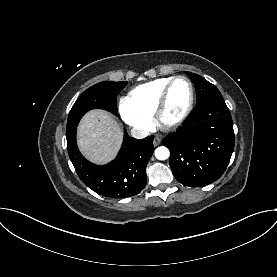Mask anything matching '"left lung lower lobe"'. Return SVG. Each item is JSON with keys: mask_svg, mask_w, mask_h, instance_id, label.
<instances>
[{"mask_svg": "<svg viewBox=\"0 0 277 277\" xmlns=\"http://www.w3.org/2000/svg\"><path fill=\"white\" fill-rule=\"evenodd\" d=\"M230 111L222 96L196 106L187 124L162 140L170 150V166L183 185L200 187L221 177L234 150Z\"/></svg>", "mask_w": 277, "mask_h": 277, "instance_id": "1", "label": "left lung lower lobe"}]
</instances>
